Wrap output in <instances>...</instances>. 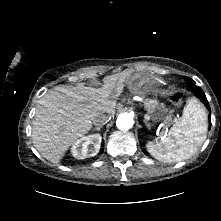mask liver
Masks as SVG:
<instances>
[{"label":"liver","instance_id":"obj_1","mask_svg":"<svg viewBox=\"0 0 221 221\" xmlns=\"http://www.w3.org/2000/svg\"><path fill=\"white\" fill-rule=\"evenodd\" d=\"M125 77L124 73L107 76L101 88L78 85L49 90L36 109L34 147L48 161L60 163L69 147L90 131L98 115L114 116Z\"/></svg>","mask_w":221,"mask_h":221}]
</instances>
